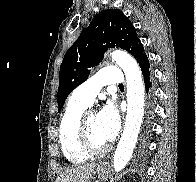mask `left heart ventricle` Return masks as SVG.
<instances>
[{
  "label": "left heart ventricle",
  "instance_id": "1",
  "mask_svg": "<svg viewBox=\"0 0 196 182\" xmlns=\"http://www.w3.org/2000/svg\"><path fill=\"white\" fill-rule=\"evenodd\" d=\"M87 132L89 142L94 147H102L108 144L98 129L97 115L95 113L90 114L87 118Z\"/></svg>",
  "mask_w": 196,
  "mask_h": 182
}]
</instances>
